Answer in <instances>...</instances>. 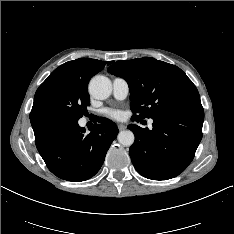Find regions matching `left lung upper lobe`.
Segmentation results:
<instances>
[{
    "label": "left lung upper lobe",
    "instance_id": "1",
    "mask_svg": "<svg viewBox=\"0 0 234 234\" xmlns=\"http://www.w3.org/2000/svg\"><path fill=\"white\" fill-rule=\"evenodd\" d=\"M107 71L127 81L134 119H153L178 109L201 105L195 85L175 65L144 57L117 61Z\"/></svg>",
    "mask_w": 234,
    "mask_h": 234
}]
</instances>
